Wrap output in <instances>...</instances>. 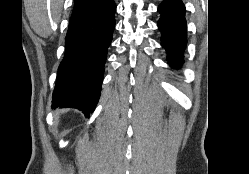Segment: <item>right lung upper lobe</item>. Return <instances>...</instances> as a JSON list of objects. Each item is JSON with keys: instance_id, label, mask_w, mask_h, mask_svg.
<instances>
[{"instance_id": "obj_1", "label": "right lung upper lobe", "mask_w": 249, "mask_h": 174, "mask_svg": "<svg viewBox=\"0 0 249 174\" xmlns=\"http://www.w3.org/2000/svg\"><path fill=\"white\" fill-rule=\"evenodd\" d=\"M96 0H75L74 9L81 8L90 3H93Z\"/></svg>"}]
</instances>
